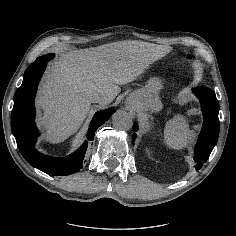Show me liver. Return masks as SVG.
<instances>
[{
	"label": "liver",
	"mask_w": 236,
	"mask_h": 236,
	"mask_svg": "<svg viewBox=\"0 0 236 236\" xmlns=\"http://www.w3.org/2000/svg\"><path fill=\"white\" fill-rule=\"evenodd\" d=\"M170 50L166 45L119 41L62 54L51 63L36 98V106L44 111L40 125L46 130L45 140L55 144L73 135L97 94L112 102L120 85L143 73L148 59L164 57Z\"/></svg>",
	"instance_id": "obj_1"
}]
</instances>
